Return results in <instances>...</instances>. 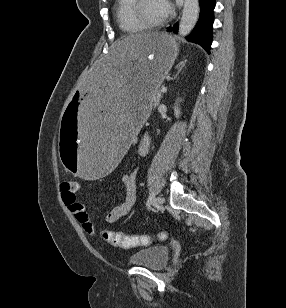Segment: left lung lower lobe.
<instances>
[{"label":"left lung lower lobe","instance_id":"1","mask_svg":"<svg viewBox=\"0 0 286 308\" xmlns=\"http://www.w3.org/2000/svg\"><path fill=\"white\" fill-rule=\"evenodd\" d=\"M215 0H199L200 16L192 33L187 37L191 42L201 45L208 53L212 43V25L214 20L213 10L215 8ZM167 31H178V24L167 28Z\"/></svg>","mask_w":286,"mask_h":308}]
</instances>
